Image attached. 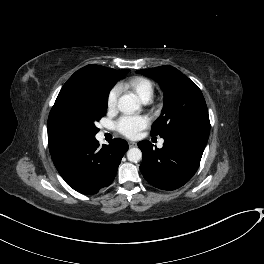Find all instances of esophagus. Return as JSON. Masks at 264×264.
Here are the masks:
<instances>
[{"instance_id":"esophagus-1","label":"esophagus","mask_w":264,"mask_h":264,"mask_svg":"<svg viewBox=\"0 0 264 264\" xmlns=\"http://www.w3.org/2000/svg\"><path fill=\"white\" fill-rule=\"evenodd\" d=\"M129 147H135L137 144L135 142H129Z\"/></svg>"}]
</instances>
